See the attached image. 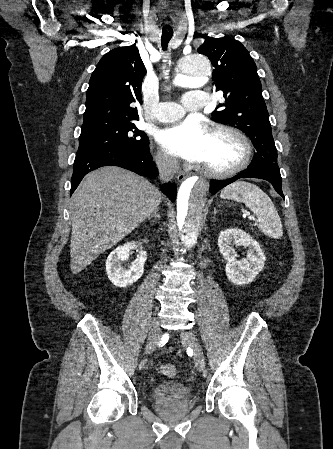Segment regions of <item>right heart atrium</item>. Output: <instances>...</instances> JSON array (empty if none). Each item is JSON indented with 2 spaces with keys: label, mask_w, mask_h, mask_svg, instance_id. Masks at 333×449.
Here are the masks:
<instances>
[{
  "label": "right heart atrium",
  "mask_w": 333,
  "mask_h": 449,
  "mask_svg": "<svg viewBox=\"0 0 333 449\" xmlns=\"http://www.w3.org/2000/svg\"><path fill=\"white\" fill-rule=\"evenodd\" d=\"M155 160L158 166L164 171L173 172L178 167L177 160L173 156L162 150H159L156 153Z\"/></svg>",
  "instance_id": "d8ad5b80"
}]
</instances>
